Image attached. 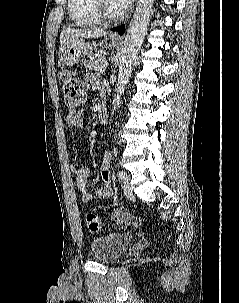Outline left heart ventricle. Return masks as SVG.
Segmentation results:
<instances>
[{"label": "left heart ventricle", "instance_id": "b2bd125f", "mask_svg": "<svg viewBox=\"0 0 239 303\" xmlns=\"http://www.w3.org/2000/svg\"><path fill=\"white\" fill-rule=\"evenodd\" d=\"M106 7L113 13H119L120 10L114 5L112 0H104Z\"/></svg>", "mask_w": 239, "mask_h": 303}]
</instances>
